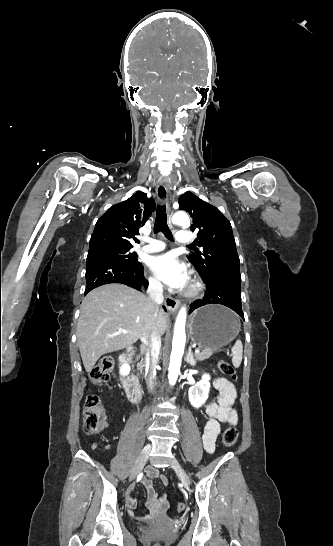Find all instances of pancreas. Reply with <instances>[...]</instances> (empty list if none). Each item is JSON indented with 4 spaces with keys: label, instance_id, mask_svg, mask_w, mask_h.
<instances>
[{
    "label": "pancreas",
    "instance_id": "pancreas-1",
    "mask_svg": "<svg viewBox=\"0 0 333 546\" xmlns=\"http://www.w3.org/2000/svg\"><path fill=\"white\" fill-rule=\"evenodd\" d=\"M213 353H214V349H203L202 352L196 353L195 357L198 361H203L205 359L210 358L213 355ZM140 366H142V363H140Z\"/></svg>",
    "mask_w": 333,
    "mask_h": 546
}]
</instances>
